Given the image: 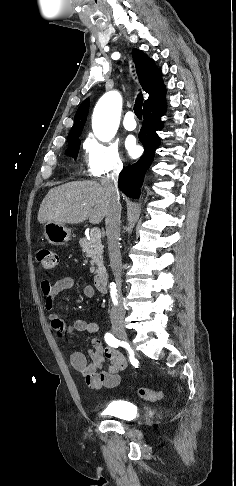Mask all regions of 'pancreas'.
<instances>
[{
  "label": "pancreas",
  "mask_w": 236,
  "mask_h": 486,
  "mask_svg": "<svg viewBox=\"0 0 236 486\" xmlns=\"http://www.w3.org/2000/svg\"><path fill=\"white\" fill-rule=\"evenodd\" d=\"M79 244L82 251L85 253L86 257L91 258L90 272L94 274H100L105 271L103 264V248L100 239H95L93 237L88 240L87 238H81Z\"/></svg>",
  "instance_id": "cf45deb5"
}]
</instances>
